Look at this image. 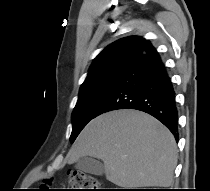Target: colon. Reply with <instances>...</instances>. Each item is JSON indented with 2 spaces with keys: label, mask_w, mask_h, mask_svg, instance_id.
Returning a JSON list of instances; mask_svg holds the SVG:
<instances>
[{
  "label": "colon",
  "mask_w": 210,
  "mask_h": 191,
  "mask_svg": "<svg viewBox=\"0 0 210 191\" xmlns=\"http://www.w3.org/2000/svg\"><path fill=\"white\" fill-rule=\"evenodd\" d=\"M70 191H103L99 179L83 172H73L69 177Z\"/></svg>",
  "instance_id": "obj_1"
}]
</instances>
